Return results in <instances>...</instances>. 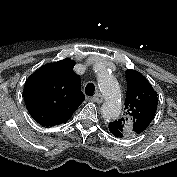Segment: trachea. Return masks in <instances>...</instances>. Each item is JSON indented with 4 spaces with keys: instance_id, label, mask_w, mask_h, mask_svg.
<instances>
[{
    "instance_id": "obj_1",
    "label": "trachea",
    "mask_w": 177,
    "mask_h": 177,
    "mask_svg": "<svg viewBox=\"0 0 177 177\" xmlns=\"http://www.w3.org/2000/svg\"><path fill=\"white\" fill-rule=\"evenodd\" d=\"M95 92V86L93 83H88L86 85V88H85V93L88 95V96H92Z\"/></svg>"
}]
</instances>
